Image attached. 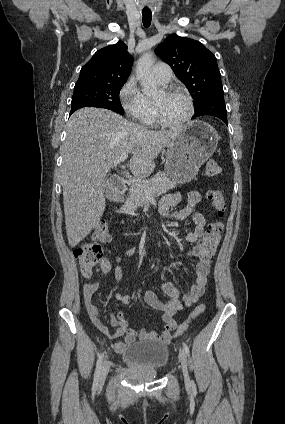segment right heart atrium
Wrapping results in <instances>:
<instances>
[{"instance_id":"right-heart-atrium-1","label":"right heart atrium","mask_w":285,"mask_h":424,"mask_svg":"<svg viewBox=\"0 0 285 424\" xmlns=\"http://www.w3.org/2000/svg\"><path fill=\"white\" fill-rule=\"evenodd\" d=\"M119 100L124 111L133 119L145 122L149 116L147 98L134 77H130L119 91Z\"/></svg>"}]
</instances>
